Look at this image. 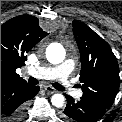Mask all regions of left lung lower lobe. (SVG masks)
<instances>
[{
  "label": "left lung lower lobe",
  "instance_id": "obj_1",
  "mask_svg": "<svg viewBox=\"0 0 122 122\" xmlns=\"http://www.w3.org/2000/svg\"><path fill=\"white\" fill-rule=\"evenodd\" d=\"M67 105L61 113L66 122H95L100 119L109 109L105 105L88 98L82 97L75 101L66 95Z\"/></svg>",
  "mask_w": 122,
  "mask_h": 122
}]
</instances>
